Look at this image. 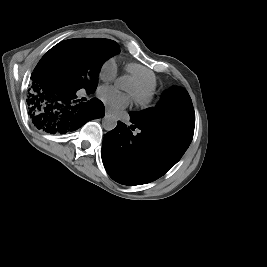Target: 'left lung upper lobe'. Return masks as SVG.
<instances>
[{"label":"left lung upper lobe","instance_id":"obj_1","mask_svg":"<svg viewBox=\"0 0 267 267\" xmlns=\"http://www.w3.org/2000/svg\"><path fill=\"white\" fill-rule=\"evenodd\" d=\"M131 120L147 128L173 133L191 142L195 127V113L188 92L173 86L166 90L156 107L131 112Z\"/></svg>","mask_w":267,"mask_h":267}]
</instances>
